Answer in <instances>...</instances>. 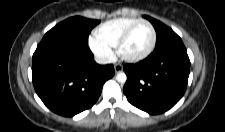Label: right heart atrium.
Here are the masks:
<instances>
[{
	"mask_svg": "<svg viewBox=\"0 0 225 132\" xmlns=\"http://www.w3.org/2000/svg\"><path fill=\"white\" fill-rule=\"evenodd\" d=\"M89 45L94 54L102 61H111L114 53L111 47L102 43L95 37L89 39Z\"/></svg>",
	"mask_w": 225,
	"mask_h": 132,
	"instance_id": "obj_1",
	"label": "right heart atrium"
}]
</instances>
